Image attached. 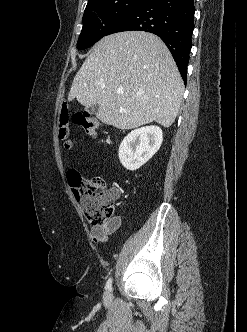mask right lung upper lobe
<instances>
[{
	"label": "right lung upper lobe",
	"instance_id": "obj_1",
	"mask_svg": "<svg viewBox=\"0 0 247 332\" xmlns=\"http://www.w3.org/2000/svg\"><path fill=\"white\" fill-rule=\"evenodd\" d=\"M97 1H99V0H88V4H87V6L93 4L94 2H97Z\"/></svg>",
	"mask_w": 247,
	"mask_h": 332
}]
</instances>
